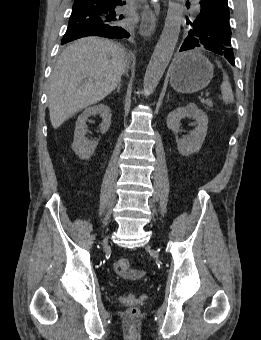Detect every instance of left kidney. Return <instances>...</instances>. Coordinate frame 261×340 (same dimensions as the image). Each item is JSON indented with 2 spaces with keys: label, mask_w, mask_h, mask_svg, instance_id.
Returning a JSON list of instances; mask_svg holds the SVG:
<instances>
[{
  "label": "left kidney",
  "mask_w": 261,
  "mask_h": 340,
  "mask_svg": "<svg viewBox=\"0 0 261 340\" xmlns=\"http://www.w3.org/2000/svg\"><path fill=\"white\" fill-rule=\"evenodd\" d=\"M185 117L194 118L197 126L188 136L176 137V142L179 153L183 156H189L201 149L207 134L208 117L194 103H189L186 107H179L168 114L167 127L174 134H177L180 121Z\"/></svg>",
  "instance_id": "1"
}]
</instances>
